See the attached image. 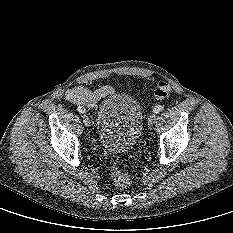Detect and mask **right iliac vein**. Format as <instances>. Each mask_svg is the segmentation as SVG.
<instances>
[{
    "label": "right iliac vein",
    "instance_id": "1",
    "mask_svg": "<svg viewBox=\"0 0 233 233\" xmlns=\"http://www.w3.org/2000/svg\"><path fill=\"white\" fill-rule=\"evenodd\" d=\"M83 122L85 124V126L89 127L90 126V119L88 118V116L83 115Z\"/></svg>",
    "mask_w": 233,
    "mask_h": 233
}]
</instances>
